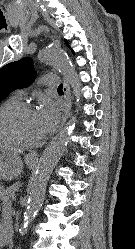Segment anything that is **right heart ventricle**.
<instances>
[{
  "label": "right heart ventricle",
  "mask_w": 135,
  "mask_h": 249,
  "mask_svg": "<svg viewBox=\"0 0 135 249\" xmlns=\"http://www.w3.org/2000/svg\"><path fill=\"white\" fill-rule=\"evenodd\" d=\"M19 102V98L17 96H11L9 98H7L6 100H4L1 104H0V114L1 112L6 109L7 107L16 104ZM9 144H15L14 142H12L11 140H9L8 138H6L5 136H3L0 133V145H9Z\"/></svg>",
  "instance_id": "1"
}]
</instances>
